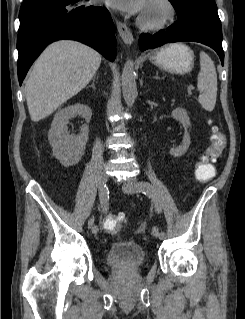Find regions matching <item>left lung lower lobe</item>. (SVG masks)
Returning a JSON list of instances; mask_svg holds the SVG:
<instances>
[{"label":"left lung lower lobe","mask_w":245,"mask_h":319,"mask_svg":"<svg viewBox=\"0 0 245 319\" xmlns=\"http://www.w3.org/2000/svg\"><path fill=\"white\" fill-rule=\"evenodd\" d=\"M194 41L213 48L224 63L222 48L221 22L201 14H188L178 17V21L166 30H160L153 36L141 34L139 48L141 51L156 48L166 43Z\"/></svg>","instance_id":"obj_1"}]
</instances>
